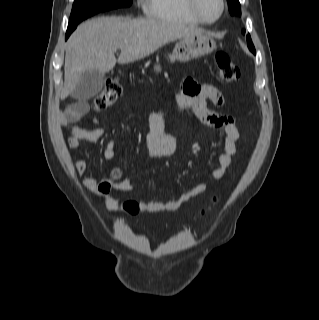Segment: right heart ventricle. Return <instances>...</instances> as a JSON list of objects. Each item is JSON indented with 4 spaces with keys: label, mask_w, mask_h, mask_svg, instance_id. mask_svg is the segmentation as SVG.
Returning a JSON list of instances; mask_svg holds the SVG:
<instances>
[{
    "label": "right heart ventricle",
    "mask_w": 319,
    "mask_h": 320,
    "mask_svg": "<svg viewBox=\"0 0 319 320\" xmlns=\"http://www.w3.org/2000/svg\"><path fill=\"white\" fill-rule=\"evenodd\" d=\"M147 15L158 21L197 26L200 24L192 17L187 0H145Z\"/></svg>",
    "instance_id": "right-heart-ventricle-1"
}]
</instances>
